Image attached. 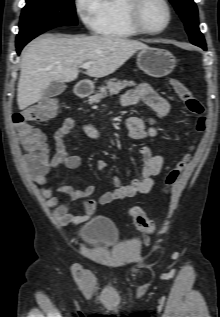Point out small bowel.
<instances>
[{"label":"small bowel","instance_id":"1","mask_svg":"<svg viewBox=\"0 0 220 317\" xmlns=\"http://www.w3.org/2000/svg\"><path fill=\"white\" fill-rule=\"evenodd\" d=\"M142 103L155 112L156 119L164 118L169 110L168 101L158 94L147 83H140L136 87L128 90L121 97L123 106L135 105ZM155 119L144 120L137 116H131L127 119V129L132 139L141 140L157 134L154 127ZM75 121L73 118H66L62 124L54 131V153L49 162L42 169H35L28 166L29 173L33 181L40 186V193L46 200L49 208L53 209L52 215L56 223L60 226L79 224L92 215H94L99 206L106 205L116 200L130 198L137 194L148 193L154 185V177L157 176L163 166V157L161 155H153L151 150L143 146L140 154L143 162L141 178L133 180L130 184H123L118 177L113 178L114 189L103 194L98 201L92 199L95 193L94 186H88L85 189H75L69 185H61L57 190L64 194L68 201H80L84 207V214L77 215L70 210L69 203L59 204V199L54 195L56 188L53 185H47V175L49 172L62 165L69 169L78 168L81 159L77 155H70L66 149L64 138L73 134ZM85 133L93 139H101L100 130L93 124L84 126ZM97 169L104 170L108 163L106 160H98Z\"/></svg>","mask_w":220,"mask_h":317}]
</instances>
